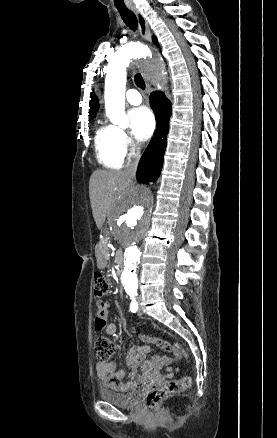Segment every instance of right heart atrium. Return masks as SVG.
Masks as SVG:
<instances>
[{"label":"right heart atrium","instance_id":"obj_1","mask_svg":"<svg viewBox=\"0 0 277 438\" xmlns=\"http://www.w3.org/2000/svg\"><path fill=\"white\" fill-rule=\"evenodd\" d=\"M118 145L124 157L134 153L137 149V144L133 141L130 135L123 130H119Z\"/></svg>","mask_w":277,"mask_h":438}]
</instances>
